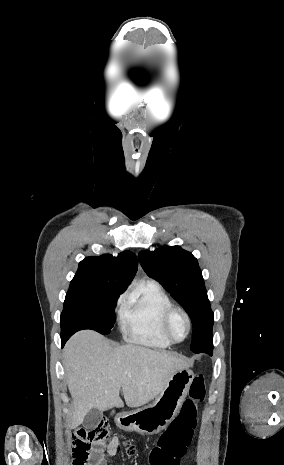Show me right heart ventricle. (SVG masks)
Instances as JSON below:
<instances>
[{
	"label": "right heart ventricle",
	"mask_w": 284,
	"mask_h": 465,
	"mask_svg": "<svg viewBox=\"0 0 284 465\" xmlns=\"http://www.w3.org/2000/svg\"><path fill=\"white\" fill-rule=\"evenodd\" d=\"M172 306L173 301L159 283H144L120 309L118 326L123 338L136 346H171L161 332V321Z\"/></svg>",
	"instance_id": "right-heart-ventricle-1"
}]
</instances>
